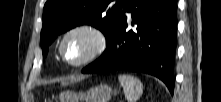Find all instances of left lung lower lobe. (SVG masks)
I'll list each match as a JSON object with an SVG mask.
<instances>
[{"label": "left lung lower lobe", "mask_w": 221, "mask_h": 102, "mask_svg": "<svg viewBox=\"0 0 221 102\" xmlns=\"http://www.w3.org/2000/svg\"><path fill=\"white\" fill-rule=\"evenodd\" d=\"M125 12L134 29H127ZM177 14L175 0H126L121 19L102 56L82 73L129 70L153 75L174 91Z\"/></svg>", "instance_id": "left-lung-lower-lobe-1"}]
</instances>
